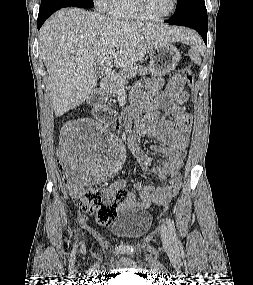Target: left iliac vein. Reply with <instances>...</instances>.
Segmentation results:
<instances>
[{
    "label": "left iliac vein",
    "mask_w": 253,
    "mask_h": 285,
    "mask_svg": "<svg viewBox=\"0 0 253 285\" xmlns=\"http://www.w3.org/2000/svg\"><path fill=\"white\" fill-rule=\"evenodd\" d=\"M160 233H161V240H162L163 246L165 248H170L171 240H170L168 229L165 226H162Z\"/></svg>",
    "instance_id": "obj_1"
}]
</instances>
